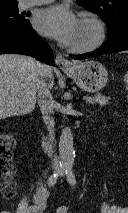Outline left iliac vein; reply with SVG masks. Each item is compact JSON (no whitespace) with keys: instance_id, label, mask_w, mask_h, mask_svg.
I'll list each match as a JSON object with an SVG mask.
<instances>
[{"instance_id":"1","label":"left iliac vein","mask_w":128,"mask_h":213,"mask_svg":"<svg viewBox=\"0 0 128 213\" xmlns=\"http://www.w3.org/2000/svg\"><path fill=\"white\" fill-rule=\"evenodd\" d=\"M61 176H64V173H63V172H61Z\"/></svg>"}]
</instances>
